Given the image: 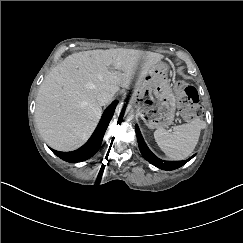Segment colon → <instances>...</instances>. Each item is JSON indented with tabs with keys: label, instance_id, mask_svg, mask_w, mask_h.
<instances>
[{
	"label": "colon",
	"instance_id": "colon-1",
	"mask_svg": "<svg viewBox=\"0 0 243 243\" xmlns=\"http://www.w3.org/2000/svg\"><path fill=\"white\" fill-rule=\"evenodd\" d=\"M175 95L180 113L185 120L190 121L200 117L198 95L193 87L179 82L175 86Z\"/></svg>",
	"mask_w": 243,
	"mask_h": 243
}]
</instances>
